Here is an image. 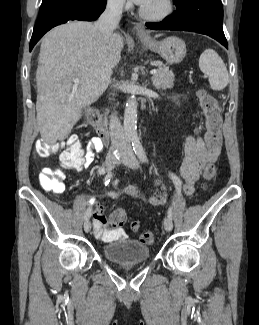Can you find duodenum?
I'll list each match as a JSON object with an SVG mask.
<instances>
[{"instance_id": "obj_1", "label": "duodenum", "mask_w": 259, "mask_h": 325, "mask_svg": "<svg viewBox=\"0 0 259 325\" xmlns=\"http://www.w3.org/2000/svg\"><path fill=\"white\" fill-rule=\"evenodd\" d=\"M87 118H88L90 125L96 131L100 140L104 144H107L109 141V133H108L106 126L103 123V120H102L99 110L96 107L90 108L88 111V114H87Z\"/></svg>"}]
</instances>
